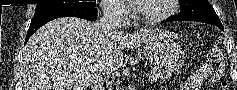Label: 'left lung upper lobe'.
I'll return each mask as SVG.
<instances>
[{"label":"left lung upper lobe","mask_w":237,"mask_h":90,"mask_svg":"<svg viewBox=\"0 0 237 90\" xmlns=\"http://www.w3.org/2000/svg\"><path fill=\"white\" fill-rule=\"evenodd\" d=\"M181 4V17L195 20L221 23L215 10L207 0H179Z\"/></svg>","instance_id":"left-lung-upper-lobe-1"}]
</instances>
